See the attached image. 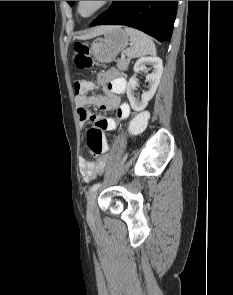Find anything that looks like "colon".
I'll return each instance as SVG.
<instances>
[{
    "label": "colon",
    "instance_id": "colon-1",
    "mask_svg": "<svg viewBox=\"0 0 233 295\" xmlns=\"http://www.w3.org/2000/svg\"><path fill=\"white\" fill-rule=\"evenodd\" d=\"M75 64L79 69H88L92 66V59L89 56V48L87 44L77 42L74 45ZM96 89V85L90 81H75L74 90L76 94L85 95ZM148 114L146 112L139 113L130 123V133H140L146 126ZM87 145L93 156H98L106 151L107 144L105 142L103 131L100 128L93 127L87 132Z\"/></svg>",
    "mask_w": 233,
    "mask_h": 295
}]
</instances>
